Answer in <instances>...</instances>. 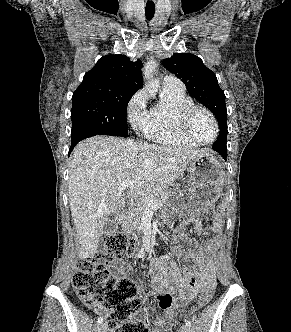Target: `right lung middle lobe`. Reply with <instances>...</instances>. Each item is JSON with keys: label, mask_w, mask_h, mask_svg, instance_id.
Instances as JSON below:
<instances>
[{"label": "right lung middle lobe", "mask_w": 291, "mask_h": 332, "mask_svg": "<svg viewBox=\"0 0 291 332\" xmlns=\"http://www.w3.org/2000/svg\"><path fill=\"white\" fill-rule=\"evenodd\" d=\"M130 98L127 94H111L72 99V127L90 123L96 129L95 134L127 137L126 113Z\"/></svg>", "instance_id": "right-lung-middle-lobe-1"}]
</instances>
